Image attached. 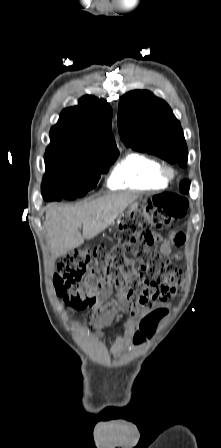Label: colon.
<instances>
[{"mask_svg":"<svg viewBox=\"0 0 221 448\" xmlns=\"http://www.w3.org/2000/svg\"><path fill=\"white\" fill-rule=\"evenodd\" d=\"M146 208L147 213L137 212L120 222L116 247L76 249L63 259L53 283L67 306L77 310L92 307L102 288L112 284L124 289L131 305L144 309H152L179 294L183 273L157 250L154 228L182 220L188 202L178 194L160 193L148 201ZM126 253L133 254L140 266L136 267ZM163 313V309H157L143 319L135 340L150 334Z\"/></svg>","mask_w":221,"mask_h":448,"instance_id":"5ec220e1","label":"colon"}]
</instances>
